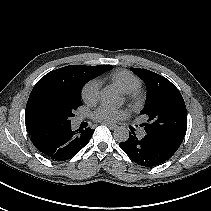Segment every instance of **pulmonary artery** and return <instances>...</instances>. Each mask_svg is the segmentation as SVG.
I'll list each match as a JSON object with an SVG mask.
<instances>
[{
	"mask_svg": "<svg viewBox=\"0 0 211 211\" xmlns=\"http://www.w3.org/2000/svg\"><path fill=\"white\" fill-rule=\"evenodd\" d=\"M82 120V118H77L76 119V122L78 123V122H80ZM139 136L142 138V137H144L145 136V132H140V134H139Z\"/></svg>",
	"mask_w": 211,
	"mask_h": 211,
	"instance_id": "pulmonary-artery-1",
	"label": "pulmonary artery"
}]
</instances>
